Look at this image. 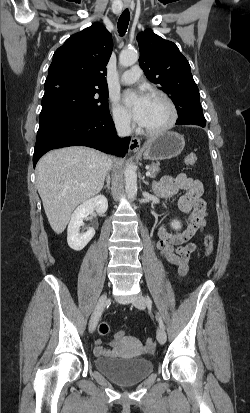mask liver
I'll return each mask as SVG.
<instances>
[{
	"mask_svg": "<svg viewBox=\"0 0 250 413\" xmlns=\"http://www.w3.org/2000/svg\"><path fill=\"white\" fill-rule=\"evenodd\" d=\"M108 156L98 150L72 146L52 150L36 166V185L49 224L61 234L75 207L98 194L104 185ZM122 160L115 159L119 167Z\"/></svg>",
	"mask_w": 250,
	"mask_h": 413,
	"instance_id": "obj_1",
	"label": "liver"
}]
</instances>
